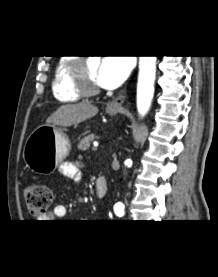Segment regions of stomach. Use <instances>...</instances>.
I'll return each mask as SVG.
<instances>
[{"label":"stomach","mask_w":218,"mask_h":277,"mask_svg":"<svg viewBox=\"0 0 218 277\" xmlns=\"http://www.w3.org/2000/svg\"><path fill=\"white\" fill-rule=\"evenodd\" d=\"M106 112L113 116L118 110L107 108ZM70 147V141L62 129L55 124L43 125L27 138L23 159L32 172L47 175L66 158Z\"/></svg>","instance_id":"stomach-1"}]
</instances>
